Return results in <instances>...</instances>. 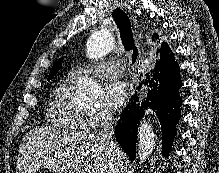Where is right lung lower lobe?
Wrapping results in <instances>:
<instances>
[{
	"mask_svg": "<svg viewBox=\"0 0 219 173\" xmlns=\"http://www.w3.org/2000/svg\"><path fill=\"white\" fill-rule=\"evenodd\" d=\"M160 56V55H159ZM179 65L170 53L156 62L151 74H147L145 83L149 82L147 100L139 102L137 93L125 107L115 128V137L124 152L135 160L137 128L147 107L155 111L162 131V155L168 157L173 139L176 135V124L181 118L182 99L178 90L182 81L179 76Z\"/></svg>",
	"mask_w": 219,
	"mask_h": 173,
	"instance_id": "right-lung-lower-lobe-1",
	"label": "right lung lower lobe"
}]
</instances>
